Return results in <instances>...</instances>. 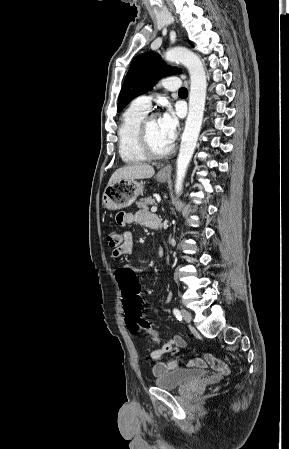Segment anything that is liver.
I'll use <instances>...</instances> for the list:
<instances>
[{
	"label": "liver",
	"instance_id": "liver-1",
	"mask_svg": "<svg viewBox=\"0 0 289 449\" xmlns=\"http://www.w3.org/2000/svg\"><path fill=\"white\" fill-rule=\"evenodd\" d=\"M155 173L149 164H134L117 169L111 176L109 183L120 179H145L151 178Z\"/></svg>",
	"mask_w": 289,
	"mask_h": 449
}]
</instances>
